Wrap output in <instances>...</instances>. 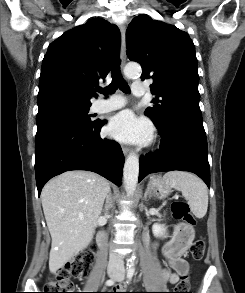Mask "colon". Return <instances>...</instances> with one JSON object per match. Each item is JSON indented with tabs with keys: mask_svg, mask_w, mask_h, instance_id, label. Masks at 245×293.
<instances>
[{
	"mask_svg": "<svg viewBox=\"0 0 245 293\" xmlns=\"http://www.w3.org/2000/svg\"><path fill=\"white\" fill-rule=\"evenodd\" d=\"M174 217L179 221H184L188 225L195 224V217L190 213L189 206L185 201H174L171 206ZM190 253L195 260H201L205 254V242L203 239L194 241L190 248ZM93 261L92 254L79 253L76 254L66 265L61 267L44 286L43 293H78L74 291L72 279H81L89 275L91 264ZM189 280L187 276H183L179 282L176 293L187 292ZM118 293V292H114Z\"/></svg>",
	"mask_w": 245,
	"mask_h": 293,
	"instance_id": "obj_1",
	"label": "colon"
}]
</instances>
